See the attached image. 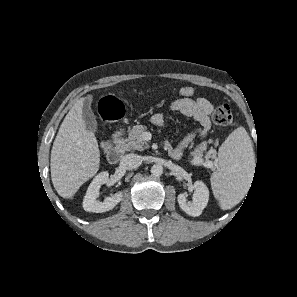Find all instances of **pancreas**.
I'll use <instances>...</instances> for the list:
<instances>
[{"label":"pancreas","instance_id":"1","mask_svg":"<svg viewBox=\"0 0 297 297\" xmlns=\"http://www.w3.org/2000/svg\"><path fill=\"white\" fill-rule=\"evenodd\" d=\"M147 130L146 126L136 125L128 134V138L123 141V146L125 150H144L149 148L148 143L143 138V133ZM202 149H196L192 155L197 157L201 155Z\"/></svg>","mask_w":297,"mask_h":297}]
</instances>
